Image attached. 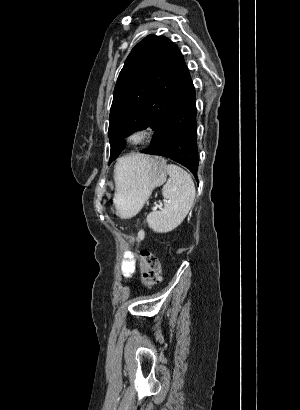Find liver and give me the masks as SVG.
Masks as SVG:
<instances>
[{
    "mask_svg": "<svg viewBox=\"0 0 300 410\" xmlns=\"http://www.w3.org/2000/svg\"><path fill=\"white\" fill-rule=\"evenodd\" d=\"M130 160H133L134 162H140L141 160H145L146 159V155H142V154H132L129 156ZM119 183L116 182V188H118Z\"/></svg>",
    "mask_w": 300,
    "mask_h": 410,
    "instance_id": "6515ba94",
    "label": "liver"
}]
</instances>
